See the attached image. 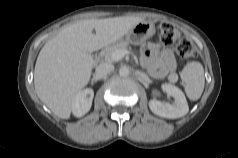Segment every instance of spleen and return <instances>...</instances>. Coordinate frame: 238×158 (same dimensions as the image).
Returning a JSON list of instances; mask_svg holds the SVG:
<instances>
[{
  "mask_svg": "<svg viewBox=\"0 0 238 158\" xmlns=\"http://www.w3.org/2000/svg\"><path fill=\"white\" fill-rule=\"evenodd\" d=\"M186 95L190 100H198L204 90V69L199 62L188 63L180 73Z\"/></svg>",
  "mask_w": 238,
  "mask_h": 158,
  "instance_id": "3e777b00",
  "label": "spleen"
}]
</instances>
